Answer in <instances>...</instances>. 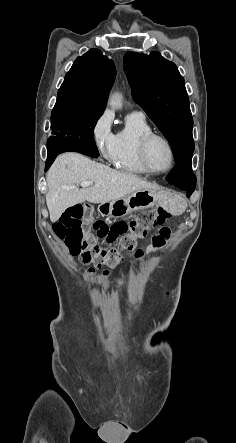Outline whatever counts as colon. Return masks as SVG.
<instances>
[{"label":"colon","instance_id":"1","mask_svg":"<svg viewBox=\"0 0 236 443\" xmlns=\"http://www.w3.org/2000/svg\"><path fill=\"white\" fill-rule=\"evenodd\" d=\"M169 217L170 213L166 209L158 207L144 211L130 221L108 225L101 220L92 222L89 207L74 204L62 213L53 229L57 237L65 242L71 255L83 263L113 269L121 264L123 252L134 249L137 239L144 237L152 228L164 224ZM161 233L168 237L170 231L163 228ZM98 239L107 243L118 240L119 247L103 249L97 245ZM108 275V270L103 272L104 277Z\"/></svg>","mask_w":236,"mask_h":443}]
</instances>
